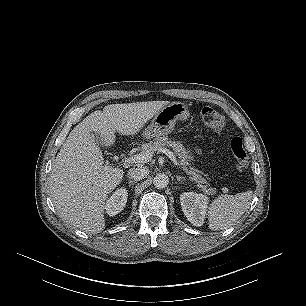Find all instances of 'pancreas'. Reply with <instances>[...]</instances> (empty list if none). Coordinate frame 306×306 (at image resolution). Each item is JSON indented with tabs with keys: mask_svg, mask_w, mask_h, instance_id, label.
<instances>
[{
	"mask_svg": "<svg viewBox=\"0 0 306 306\" xmlns=\"http://www.w3.org/2000/svg\"><path fill=\"white\" fill-rule=\"evenodd\" d=\"M165 147H171L173 149L174 154L180 159V167L189 176L191 181L197 183V187L201 189V191L207 195L216 194V188L209 187V182L202 177L201 172L191 167L190 160L192 159V155L189 150L185 149L181 142L168 139L167 136L157 137L154 141L143 144L141 152H152L154 154Z\"/></svg>",
	"mask_w": 306,
	"mask_h": 306,
	"instance_id": "pancreas-1",
	"label": "pancreas"
}]
</instances>
